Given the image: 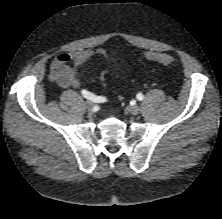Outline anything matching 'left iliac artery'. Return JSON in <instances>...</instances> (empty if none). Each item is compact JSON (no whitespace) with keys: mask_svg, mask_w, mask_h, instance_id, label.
<instances>
[{"mask_svg":"<svg viewBox=\"0 0 222 219\" xmlns=\"http://www.w3.org/2000/svg\"><path fill=\"white\" fill-rule=\"evenodd\" d=\"M137 99L140 100V101L143 100L144 99V95L142 93H138L137 94Z\"/></svg>","mask_w":222,"mask_h":219,"instance_id":"left-iliac-artery-1","label":"left iliac artery"}]
</instances>
